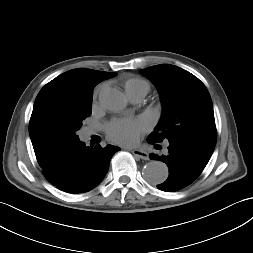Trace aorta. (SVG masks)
Listing matches in <instances>:
<instances>
[{
    "label": "aorta",
    "mask_w": 253,
    "mask_h": 253,
    "mask_svg": "<svg viewBox=\"0 0 253 253\" xmlns=\"http://www.w3.org/2000/svg\"><path fill=\"white\" fill-rule=\"evenodd\" d=\"M99 102L103 108L115 113L121 112L127 105L125 95L116 88L102 90L99 94ZM142 174L148 183L161 184L168 177V167L163 162L153 160L144 166Z\"/></svg>",
    "instance_id": "762f6f07"
}]
</instances>
